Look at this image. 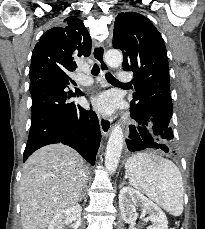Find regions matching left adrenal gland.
Listing matches in <instances>:
<instances>
[{
    "label": "left adrenal gland",
    "instance_id": "obj_1",
    "mask_svg": "<svg viewBox=\"0 0 205 229\" xmlns=\"http://www.w3.org/2000/svg\"><path fill=\"white\" fill-rule=\"evenodd\" d=\"M125 183H126V180L123 179V181H122V183H121V185H120V188H121Z\"/></svg>",
    "mask_w": 205,
    "mask_h": 229
}]
</instances>
